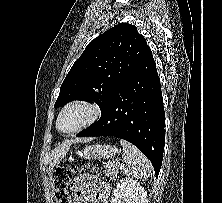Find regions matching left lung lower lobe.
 <instances>
[{
    "label": "left lung lower lobe",
    "instance_id": "1",
    "mask_svg": "<svg viewBox=\"0 0 222 203\" xmlns=\"http://www.w3.org/2000/svg\"><path fill=\"white\" fill-rule=\"evenodd\" d=\"M165 114L160 79L150 48L102 111L77 137L113 136L134 144L158 175L164 152Z\"/></svg>",
    "mask_w": 222,
    "mask_h": 203
}]
</instances>
